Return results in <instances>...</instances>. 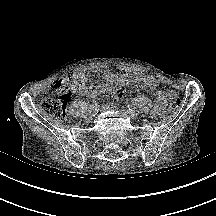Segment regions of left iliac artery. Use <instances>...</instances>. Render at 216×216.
<instances>
[{
  "instance_id": "44dca946",
  "label": "left iliac artery",
  "mask_w": 216,
  "mask_h": 216,
  "mask_svg": "<svg viewBox=\"0 0 216 216\" xmlns=\"http://www.w3.org/2000/svg\"><path fill=\"white\" fill-rule=\"evenodd\" d=\"M128 108L130 111H135L136 106H135V104L132 103V104L128 105Z\"/></svg>"
}]
</instances>
